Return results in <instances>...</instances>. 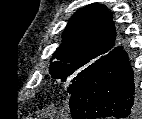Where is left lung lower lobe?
Returning a JSON list of instances; mask_svg holds the SVG:
<instances>
[{
    "label": "left lung lower lobe",
    "mask_w": 142,
    "mask_h": 119,
    "mask_svg": "<svg viewBox=\"0 0 142 119\" xmlns=\"http://www.w3.org/2000/svg\"><path fill=\"white\" fill-rule=\"evenodd\" d=\"M69 104L74 119L139 116L133 72L121 46L113 48L83 78Z\"/></svg>",
    "instance_id": "0a47b994"
}]
</instances>
